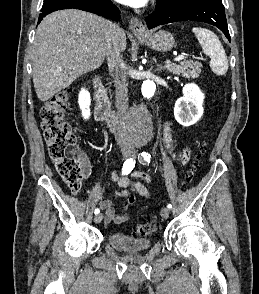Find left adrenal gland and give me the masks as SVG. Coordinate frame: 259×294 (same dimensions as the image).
Returning <instances> with one entry per match:
<instances>
[{
  "label": "left adrenal gland",
  "mask_w": 259,
  "mask_h": 294,
  "mask_svg": "<svg viewBox=\"0 0 259 294\" xmlns=\"http://www.w3.org/2000/svg\"><path fill=\"white\" fill-rule=\"evenodd\" d=\"M162 70H164V67L162 65H158L156 71L162 72Z\"/></svg>",
  "instance_id": "1"
}]
</instances>
